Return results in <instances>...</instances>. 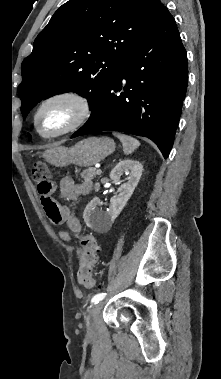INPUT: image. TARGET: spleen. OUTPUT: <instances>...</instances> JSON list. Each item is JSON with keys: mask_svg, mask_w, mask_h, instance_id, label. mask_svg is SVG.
Wrapping results in <instances>:
<instances>
[{"mask_svg": "<svg viewBox=\"0 0 221 379\" xmlns=\"http://www.w3.org/2000/svg\"><path fill=\"white\" fill-rule=\"evenodd\" d=\"M114 136H116L122 142L123 151L126 155L131 154L140 146V142L131 136L121 133H114Z\"/></svg>", "mask_w": 221, "mask_h": 379, "instance_id": "3e777b00", "label": "spleen"}]
</instances>
